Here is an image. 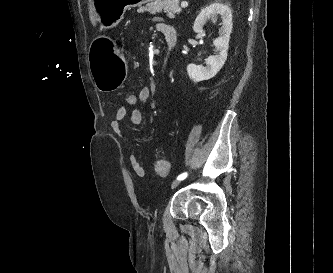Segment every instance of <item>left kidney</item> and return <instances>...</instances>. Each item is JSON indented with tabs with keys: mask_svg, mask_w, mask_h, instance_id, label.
<instances>
[{
	"mask_svg": "<svg viewBox=\"0 0 333 273\" xmlns=\"http://www.w3.org/2000/svg\"><path fill=\"white\" fill-rule=\"evenodd\" d=\"M217 15H221L222 18L219 37L213 41L218 54L209 56L206 59V67L195 64H189L187 66L188 76L194 82L213 78L223 67L227 59V51L233 25L232 11L228 5L215 2L203 8L194 22L193 30L196 33H200L203 29V25L210 19H216Z\"/></svg>",
	"mask_w": 333,
	"mask_h": 273,
	"instance_id": "obj_1",
	"label": "left kidney"
}]
</instances>
